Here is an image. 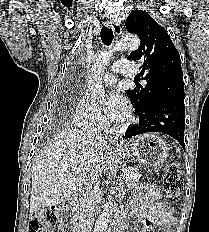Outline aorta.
I'll return each instance as SVG.
<instances>
[{
  "instance_id": "1",
  "label": "aorta",
  "mask_w": 209,
  "mask_h": 232,
  "mask_svg": "<svg viewBox=\"0 0 209 232\" xmlns=\"http://www.w3.org/2000/svg\"><path fill=\"white\" fill-rule=\"evenodd\" d=\"M140 46V39L136 35L126 34L115 46L108 51L100 53L91 66L88 75V89L93 95H104L102 86V75L115 51L136 50ZM110 219V212L108 209L101 212L95 224L94 232H106Z\"/></svg>"
}]
</instances>
